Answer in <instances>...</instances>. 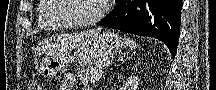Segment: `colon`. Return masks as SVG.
<instances>
[{"instance_id":"obj_1","label":"colon","mask_w":216,"mask_h":90,"mask_svg":"<svg viewBox=\"0 0 216 90\" xmlns=\"http://www.w3.org/2000/svg\"><path fill=\"white\" fill-rule=\"evenodd\" d=\"M27 90H41V87L36 80H30L27 84Z\"/></svg>"}]
</instances>
